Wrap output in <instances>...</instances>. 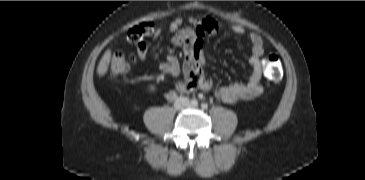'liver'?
<instances>
[{"label": "liver", "mask_w": 365, "mask_h": 180, "mask_svg": "<svg viewBox=\"0 0 365 180\" xmlns=\"http://www.w3.org/2000/svg\"><path fill=\"white\" fill-rule=\"evenodd\" d=\"M110 60H111V49H107L97 66V74L99 77L105 76L106 73L108 72Z\"/></svg>", "instance_id": "liver-1"}]
</instances>
